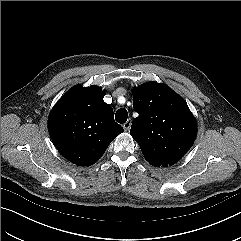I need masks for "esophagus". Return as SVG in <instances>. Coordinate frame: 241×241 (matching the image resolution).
<instances>
[{
	"mask_svg": "<svg viewBox=\"0 0 241 241\" xmlns=\"http://www.w3.org/2000/svg\"><path fill=\"white\" fill-rule=\"evenodd\" d=\"M131 124H132L131 119H128V120L123 124V128L127 131V130L130 129Z\"/></svg>",
	"mask_w": 241,
	"mask_h": 241,
	"instance_id": "obj_1",
	"label": "esophagus"
}]
</instances>
